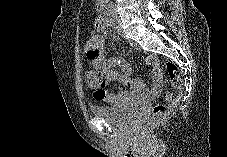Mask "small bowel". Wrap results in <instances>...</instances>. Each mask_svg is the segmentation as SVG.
Listing matches in <instances>:
<instances>
[{"instance_id":"1","label":"small bowel","mask_w":227,"mask_h":157,"mask_svg":"<svg viewBox=\"0 0 227 157\" xmlns=\"http://www.w3.org/2000/svg\"><path fill=\"white\" fill-rule=\"evenodd\" d=\"M108 39L104 33L92 36L86 43V53L93 67L102 75L104 79L100 89H94L93 97L99 102L108 103L112 106H122L135 101H145L155 98L161 87V75L154 66L151 78L153 85L147 89L141 79L131 77V68L127 62L121 58H108ZM156 58L151 57L149 63H155ZM122 67V73L116 69ZM110 81H118L122 85L129 87L130 91L119 88L117 91L106 89Z\"/></svg>"}]
</instances>
